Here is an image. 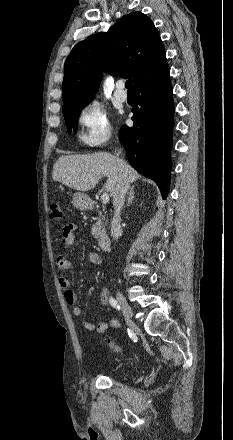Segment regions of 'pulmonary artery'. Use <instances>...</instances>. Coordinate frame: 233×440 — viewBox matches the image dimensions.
Wrapping results in <instances>:
<instances>
[{
    "mask_svg": "<svg viewBox=\"0 0 233 440\" xmlns=\"http://www.w3.org/2000/svg\"><path fill=\"white\" fill-rule=\"evenodd\" d=\"M115 98L120 102H125L127 99V94L122 90V83H117L116 89L114 91Z\"/></svg>",
    "mask_w": 233,
    "mask_h": 440,
    "instance_id": "pulmonary-artery-1",
    "label": "pulmonary artery"
}]
</instances>
